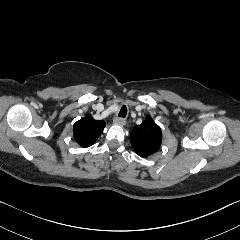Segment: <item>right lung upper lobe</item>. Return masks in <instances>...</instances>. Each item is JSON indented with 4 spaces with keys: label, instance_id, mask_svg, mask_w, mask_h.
I'll return each instance as SVG.
<instances>
[{
    "label": "right lung upper lobe",
    "instance_id": "1",
    "mask_svg": "<svg viewBox=\"0 0 240 240\" xmlns=\"http://www.w3.org/2000/svg\"><path fill=\"white\" fill-rule=\"evenodd\" d=\"M105 125V122L94 120L91 115H86L74 124V138L82 147H89L98 139Z\"/></svg>",
    "mask_w": 240,
    "mask_h": 240
}]
</instances>
